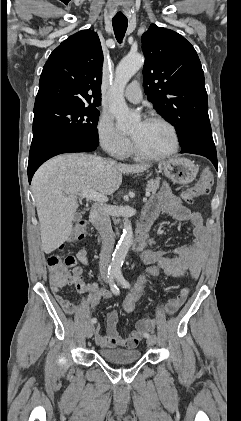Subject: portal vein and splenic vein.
<instances>
[{
  "instance_id": "obj_1",
  "label": "portal vein and splenic vein",
  "mask_w": 241,
  "mask_h": 421,
  "mask_svg": "<svg viewBox=\"0 0 241 421\" xmlns=\"http://www.w3.org/2000/svg\"><path fill=\"white\" fill-rule=\"evenodd\" d=\"M146 197L144 198V200H147V197L150 196V191H146ZM80 196H82L83 198H87L93 201H98V202H107L108 198L105 195L99 194L96 191L90 190V191H84L80 193Z\"/></svg>"
}]
</instances>
